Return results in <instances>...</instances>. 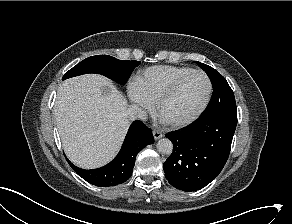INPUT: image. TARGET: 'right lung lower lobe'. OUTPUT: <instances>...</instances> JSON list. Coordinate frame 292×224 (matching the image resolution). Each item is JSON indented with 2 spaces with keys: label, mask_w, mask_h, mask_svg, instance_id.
Here are the masks:
<instances>
[{
  "label": "right lung lower lobe",
  "mask_w": 292,
  "mask_h": 224,
  "mask_svg": "<svg viewBox=\"0 0 292 224\" xmlns=\"http://www.w3.org/2000/svg\"><path fill=\"white\" fill-rule=\"evenodd\" d=\"M152 132L141 121H134L125 137L118 155L107 165L97 169L85 170L68 163L84 180L92 185L108 187L128 180L133 171L137 154L148 144H152Z\"/></svg>",
  "instance_id": "obj_1"
}]
</instances>
